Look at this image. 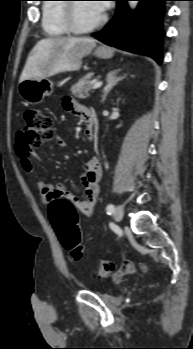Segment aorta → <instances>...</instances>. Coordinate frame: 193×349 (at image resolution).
Listing matches in <instances>:
<instances>
[{"instance_id": "obj_1", "label": "aorta", "mask_w": 193, "mask_h": 349, "mask_svg": "<svg viewBox=\"0 0 193 349\" xmlns=\"http://www.w3.org/2000/svg\"><path fill=\"white\" fill-rule=\"evenodd\" d=\"M137 4H138L137 1H130V2H129V6H130L131 9H135L136 6H137Z\"/></svg>"}]
</instances>
